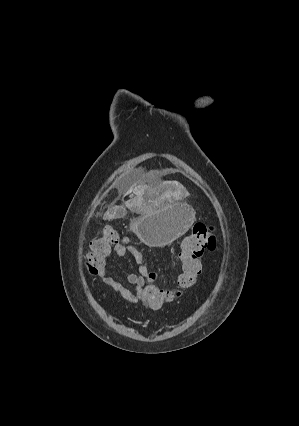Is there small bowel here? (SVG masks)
<instances>
[{
    "mask_svg": "<svg viewBox=\"0 0 299 426\" xmlns=\"http://www.w3.org/2000/svg\"><path fill=\"white\" fill-rule=\"evenodd\" d=\"M113 252L120 257L127 254L132 255L139 266L138 272L127 274L126 282L129 287H126L111 275L108 263L106 262L98 274L100 281L118 292L128 302L132 304H143L149 308L143 298V288L145 283L149 280L150 270L143 264L141 252L133 244H118L113 248Z\"/></svg>",
    "mask_w": 299,
    "mask_h": 426,
    "instance_id": "small-bowel-1",
    "label": "small bowel"
}]
</instances>
